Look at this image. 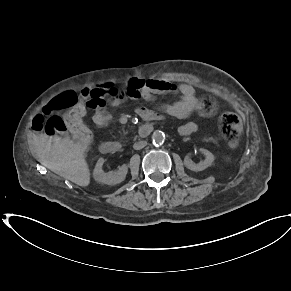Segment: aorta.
<instances>
[{"label": "aorta", "mask_w": 291, "mask_h": 291, "mask_svg": "<svg viewBox=\"0 0 291 291\" xmlns=\"http://www.w3.org/2000/svg\"><path fill=\"white\" fill-rule=\"evenodd\" d=\"M152 140L154 145H162L165 141V134L160 130H156L153 132Z\"/></svg>", "instance_id": "762f6f07"}]
</instances>
